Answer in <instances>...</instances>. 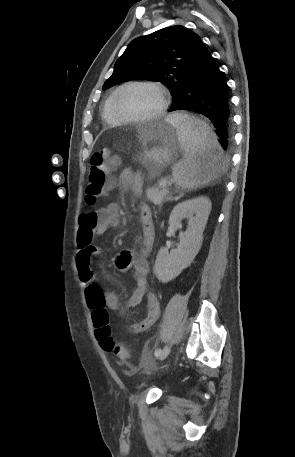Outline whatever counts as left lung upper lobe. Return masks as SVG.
I'll list each match as a JSON object with an SVG mask.
<instances>
[{
  "mask_svg": "<svg viewBox=\"0 0 295 457\" xmlns=\"http://www.w3.org/2000/svg\"><path fill=\"white\" fill-rule=\"evenodd\" d=\"M202 44L199 35L181 25L138 37L117 60L112 76L102 89L122 81L147 80L165 85L175 99L184 84L185 72Z\"/></svg>",
  "mask_w": 295,
  "mask_h": 457,
  "instance_id": "1",
  "label": "left lung upper lobe"
}]
</instances>
